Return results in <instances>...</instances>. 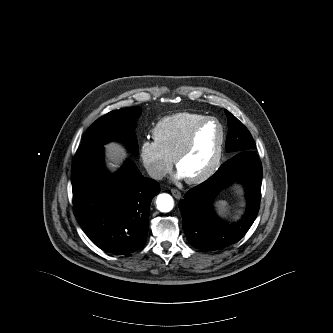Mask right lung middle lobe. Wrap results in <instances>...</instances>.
Listing matches in <instances>:
<instances>
[{
	"instance_id": "1",
	"label": "right lung middle lobe",
	"mask_w": 333,
	"mask_h": 333,
	"mask_svg": "<svg viewBox=\"0 0 333 333\" xmlns=\"http://www.w3.org/2000/svg\"><path fill=\"white\" fill-rule=\"evenodd\" d=\"M140 113L139 107H128L105 114L89 127L81 147L90 148L101 146L111 140H126L132 152L136 153L137 142L133 129L135 119Z\"/></svg>"
}]
</instances>
